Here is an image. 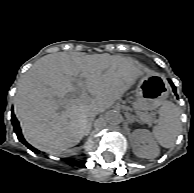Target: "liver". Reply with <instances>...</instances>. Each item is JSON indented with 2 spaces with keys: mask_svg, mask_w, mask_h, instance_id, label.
<instances>
[{
  "mask_svg": "<svg viewBox=\"0 0 194 193\" xmlns=\"http://www.w3.org/2000/svg\"><path fill=\"white\" fill-rule=\"evenodd\" d=\"M142 74L139 66L118 55L43 56L23 75L15 96L14 111L25 139L41 151L61 154L81 141L90 111L111 107ZM74 82L92 98L83 93L67 100L76 91Z\"/></svg>",
  "mask_w": 194,
  "mask_h": 193,
  "instance_id": "1",
  "label": "liver"
}]
</instances>
